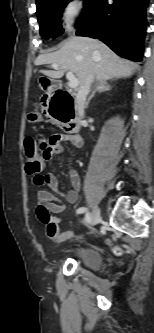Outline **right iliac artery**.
<instances>
[{"label": "right iliac artery", "mask_w": 154, "mask_h": 333, "mask_svg": "<svg viewBox=\"0 0 154 333\" xmlns=\"http://www.w3.org/2000/svg\"><path fill=\"white\" fill-rule=\"evenodd\" d=\"M84 212H85V221L89 223L91 220V216H90V213L88 212V210L85 207H80L77 209V214H81Z\"/></svg>", "instance_id": "right-iliac-artery-1"}]
</instances>
